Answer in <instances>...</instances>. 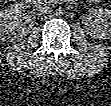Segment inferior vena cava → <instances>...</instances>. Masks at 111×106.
<instances>
[{"mask_svg":"<svg viewBox=\"0 0 111 106\" xmlns=\"http://www.w3.org/2000/svg\"><path fill=\"white\" fill-rule=\"evenodd\" d=\"M35 8L38 12L44 14L46 12L49 11V7L46 6V3L43 2V1H39L36 5H35Z\"/></svg>","mask_w":111,"mask_h":106,"instance_id":"obj_1","label":"inferior vena cava"}]
</instances>
